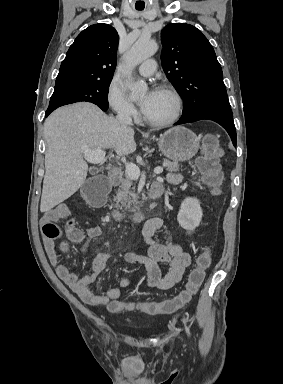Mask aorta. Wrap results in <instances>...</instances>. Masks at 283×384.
Returning <instances> with one entry per match:
<instances>
[{
    "instance_id": "762f6f07",
    "label": "aorta",
    "mask_w": 283,
    "mask_h": 384,
    "mask_svg": "<svg viewBox=\"0 0 283 384\" xmlns=\"http://www.w3.org/2000/svg\"><path fill=\"white\" fill-rule=\"evenodd\" d=\"M158 50L156 42L144 38L138 39L130 50L125 54L124 74L126 76V86L130 90L131 97L136 98L147 91L144 81H134L131 75L132 69L153 56Z\"/></svg>"
}]
</instances>
